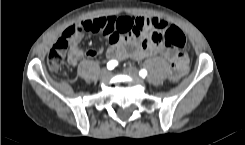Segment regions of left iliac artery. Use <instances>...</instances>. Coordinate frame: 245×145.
I'll return each mask as SVG.
<instances>
[{"label": "left iliac artery", "instance_id": "left-iliac-artery-1", "mask_svg": "<svg viewBox=\"0 0 245 145\" xmlns=\"http://www.w3.org/2000/svg\"><path fill=\"white\" fill-rule=\"evenodd\" d=\"M139 75L141 76V77H146L147 76V71L145 70V69H141L140 71H139Z\"/></svg>", "mask_w": 245, "mask_h": 145}]
</instances>
